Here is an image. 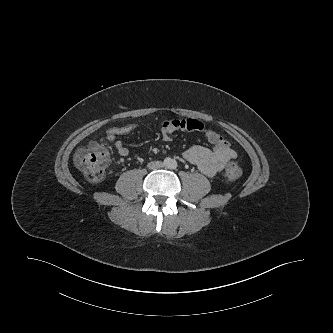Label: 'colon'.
Masks as SVG:
<instances>
[{
  "label": "colon",
  "mask_w": 333,
  "mask_h": 333,
  "mask_svg": "<svg viewBox=\"0 0 333 333\" xmlns=\"http://www.w3.org/2000/svg\"><path fill=\"white\" fill-rule=\"evenodd\" d=\"M77 168L90 181H100L110 162L109 151L105 145L93 142L78 150L74 156ZM241 175V168L237 163H230L225 170V178L229 181L237 180Z\"/></svg>",
  "instance_id": "1"
}]
</instances>
